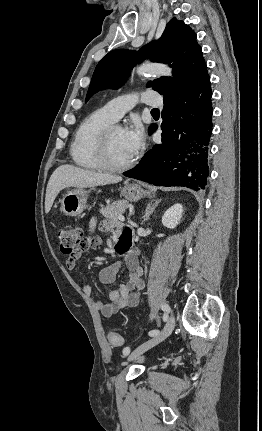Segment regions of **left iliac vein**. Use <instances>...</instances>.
<instances>
[{
    "mask_svg": "<svg viewBox=\"0 0 262 431\" xmlns=\"http://www.w3.org/2000/svg\"><path fill=\"white\" fill-rule=\"evenodd\" d=\"M175 328V319L174 316L171 315L167 321L166 326L164 329L139 347H137L129 356V361H134L138 359L143 353H145L147 350L153 348L154 346L158 345L160 342L164 341L174 330Z\"/></svg>",
    "mask_w": 262,
    "mask_h": 431,
    "instance_id": "4c4485c4",
    "label": "left iliac vein"
}]
</instances>
